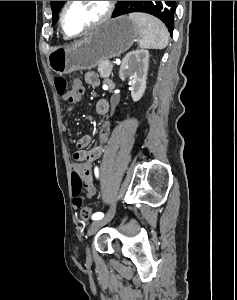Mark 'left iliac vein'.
Here are the masks:
<instances>
[{
  "instance_id": "1",
  "label": "left iliac vein",
  "mask_w": 237,
  "mask_h": 300,
  "mask_svg": "<svg viewBox=\"0 0 237 300\" xmlns=\"http://www.w3.org/2000/svg\"><path fill=\"white\" fill-rule=\"evenodd\" d=\"M114 214H115V205L113 204L110 207V209L108 210V212H107L106 216L104 217V219H102V220L100 219V220H97V221L91 223V225L89 226V229H88V233H87L88 236H91L100 227H102L103 225L108 223L114 217ZM85 253H86L87 263L90 264L91 261H92V258H91V252L88 249V247H86Z\"/></svg>"
}]
</instances>
